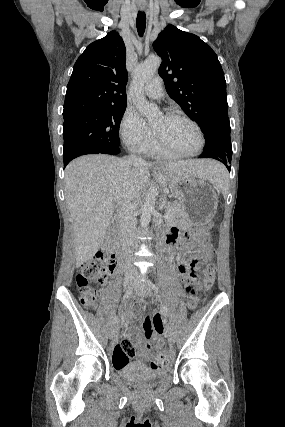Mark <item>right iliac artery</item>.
Masks as SVG:
<instances>
[{
  "instance_id": "82829eb1",
  "label": "right iliac artery",
  "mask_w": 285,
  "mask_h": 427,
  "mask_svg": "<svg viewBox=\"0 0 285 427\" xmlns=\"http://www.w3.org/2000/svg\"><path fill=\"white\" fill-rule=\"evenodd\" d=\"M131 294H132V289L127 290L126 293L123 295V301H126ZM117 323H118V316H115L112 324L113 326H115Z\"/></svg>"
}]
</instances>
